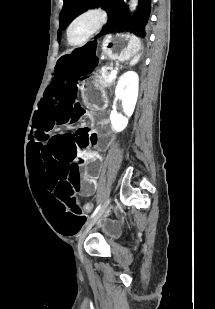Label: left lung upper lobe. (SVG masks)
Masks as SVG:
<instances>
[{"mask_svg": "<svg viewBox=\"0 0 215 309\" xmlns=\"http://www.w3.org/2000/svg\"><path fill=\"white\" fill-rule=\"evenodd\" d=\"M96 5L106 8L109 15L108 24L96 38L119 31H129L141 37L146 35L151 11V0H139L137 11L132 16H130L128 7L121 0H64L63 10L60 13L58 40L60 41L61 31L78 14L88 7Z\"/></svg>", "mask_w": 215, "mask_h": 309, "instance_id": "obj_1", "label": "left lung upper lobe"}]
</instances>
